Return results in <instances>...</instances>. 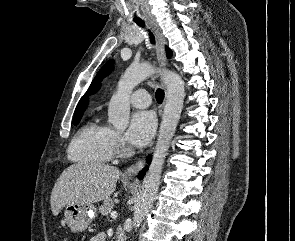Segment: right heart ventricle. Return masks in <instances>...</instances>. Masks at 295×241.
<instances>
[{
	"mask_svg": "<svg viewBox=\"0 0 295 241\" xmlns=\"http://www.w3.org/2000/svg\"><path fill=\"white\" fill-rule=\"evenodd\" d=\"M115 131L97 120L86 123L73 138L69 158L80 164L101 165L109 162L115 151Z\"/></svg>",
	"mask_w": 295,
	"mask_h": 241,
	"instance_id": "obj_1",
	"label": "right heart ventricle"
}]
</instances>
